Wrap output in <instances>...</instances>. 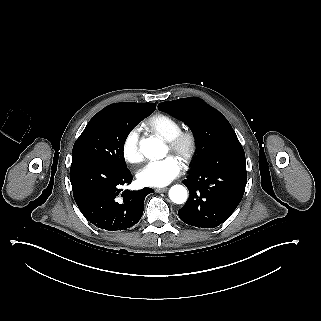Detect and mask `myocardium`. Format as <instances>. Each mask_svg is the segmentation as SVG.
Here are the masks:
<instances>
[{
	"label": "myocardium",
	"instance_id": "1",
	"mask_svg": "<svg viewBox=\"0 0 321 321\" xmlns=\"http://www.w3.org/2000/svg\"><path fill=\"white\" fill-rule=\"evenodd\" d=\"M168 148L175 152L185 164H189L197 150L196 134L192 130H183L171 139H165Z\"/></svg>",
	"mask_w": 321,
	"mask_h": 321
}]
</instances>
